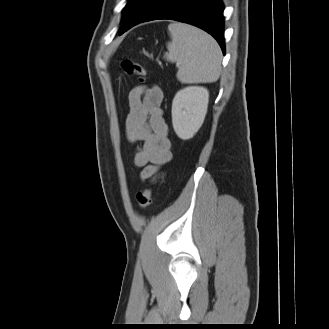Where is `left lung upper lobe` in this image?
I'll list each match as a JSON object with an SVG mask.
<instances>
[{"label":"left lung upper lobe","mask_w":329,"mask_h":329,"mask_svg":"<svg viewBox=\"0 0 329 329\" xmlns=\"http://www.w3.org/2000/svg\"><path fill=\"white\" fill-rule=\"evenodd\" d=\"M147 0H128L126 6L123 9V24L119 31L125 28V22L131 17L140 6H142Z\"/></svg>","instance_id":"left-lung-upper-lobe-1"}]
</instances>
